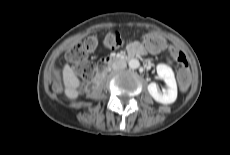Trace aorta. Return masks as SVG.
<instances>
[{
    "mask_svg": "<svg viewBox=\"0 0 230 155\" xmlns=\"http://www.w3.org/2000/svg\"><path fill=\"white\" fill-rule=\"evenodd\" d=\"M128 64H129V67H130L131 69H137V68H139V66H140L139 60H137V59H131V60L128 62Z\"/></svg>",
    "mask_w": 230,
    "mask_h": 155,
    "instance_id": "obj_1",
    "label": "aorta"
}]
</instances>
